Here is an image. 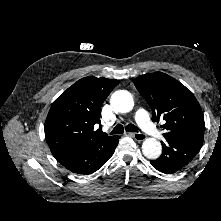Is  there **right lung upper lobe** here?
<instances>
[{
    "label": "right lung upper lobe",
    "mask_w": 221,
    "mask_h": 221,
    "mask_svg": "<svg viewBox=\"0 0 221 221\" xmlns=\"http://www.w3.org/2000/svg\"><path fill=\"white\" fill-rule=\"evenodd\" d=\"M119 80L85 77L65 90L53 103L45 122L49 148L58 157L74 150L112 140L100 130V108Z\"/></svg>",
    "instance_id": "obj_1"
}]
</instances>
